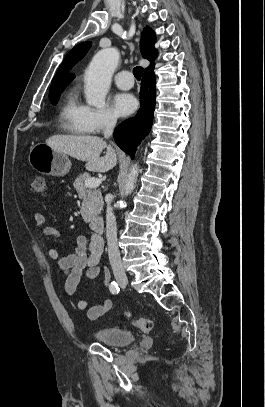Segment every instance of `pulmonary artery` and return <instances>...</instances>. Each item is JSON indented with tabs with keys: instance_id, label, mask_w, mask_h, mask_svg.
Listing matches in <instances>:
<instances>
[{
	"instance_id": "e3ab8cb5",
	"label": "pulmonary artery",
	"mask_w": 265,
	"mask_h": 407,
	"mask_svg": "<svg viewBox=\"0 0 265 407\" xmlns=\"http://www.w3.org/2000/svg\"><path fill=\"white\" fill-rule=\"evenodd\" d=\"M114 82L116 86L122 90H128L134 85L132 73L128 70L118 72L114 77Z\"/></svg>"
}]
</instances>
